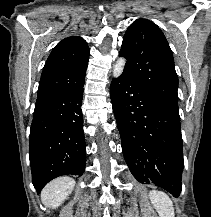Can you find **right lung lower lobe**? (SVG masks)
<instances>
[{"instance_id":"right-lung-lower-lobe-1","label":"right lung lower lobe","mask_w":211,"mask_h":217,"mask_svg":"<svg viewBox=\"0 0 211 217\" xmlns=\"http://www.w3.org/2000/svg\"><path fill=\"white\" fill-rule=\"evenodd\" d=\"M85 74L75 85L36 102L30 129L29 154L32 183L39 194L52 179L81 176L86 146L81 103Z\"/></svg>"}]
</instances>
